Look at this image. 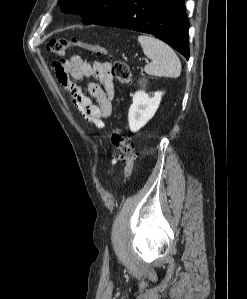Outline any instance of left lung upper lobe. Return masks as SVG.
<instances>
[{"mask_svg":"<svg viewBox=\"0 0 247 299\" xmlns=\"http://www.w3.org/2000/svg\"><path fill=\"white\" fill-rule=\"evenodd\" d=\"M121 0H59L64 12H73L83 16V23L93 24L110 12Z\"/></svg>","mask_w":247,"mask_h":299,"instance_id":"1","label":"left lung upper lobe"}]
</instances>
